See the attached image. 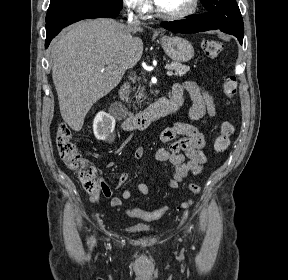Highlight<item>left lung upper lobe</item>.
Here are the masks:
<instances>
[{
  "label": "left lung upper lobe",
  "instance_id": "5c2ea615",
  "mask_svg": "<svg viewBox=\"0 0 288 280\" xmlns=\"http://www.w3.org/2000/svg\"><path fill=\"white\" fill-rule=\"evenodd\" d=\"M208 11L203 14L210 21L217 23L239 35H244L241 12L235 0H201Z\"/></svg>",
  "mask_w": 288,
  "mask_h": 280
}]
</instances>
